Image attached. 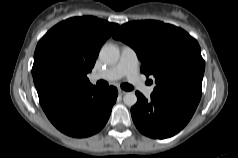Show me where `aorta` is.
I'll return each instance as SVG.
<instances>
[{
  "label": "aorta",
  "mask_w": 238,
  "mask_h": 158,
  "mask_svg": "<svg viewBox=\"0 0 238 158\" xmlns=\"http://www.w3.org/2000/svg\"><path fill=\"white\" fill-rule=\"evenodd\" d=\"M100 59L107 64H115L120 58V51L113 44H105L99 53ZM123 102L127 106H133L137 103V96L134 92H127L123 97Z\"/></svg>",
  "instance_id": "aorta-1"
}]
</instances>
